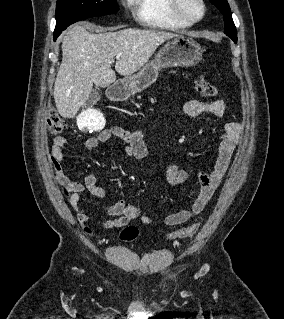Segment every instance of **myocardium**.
Returning a JSON list of instances; mask_svg holds the SVG:
<instances>
[{"instance_id": "f54148a6", "label": "myocardium", "mask_w": 284, "mask_h": 319, "mask_svg": "<svg viewBox=\"0 0 284 319\" xmlns=\"http://www.w3.org/2000/svg\"><path fill=\"white\" fill-rule=\"evenodd\" d=\"M198 2L200 3L202 7V13L198 18H191L185 13L183 9V0H171V8L174 14L178 18H180L181 20L189 24H194V23L200 22L205 17L207 12V6L205 3V0H198Z\"/></svg>"}]
</instances>
